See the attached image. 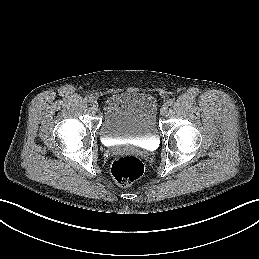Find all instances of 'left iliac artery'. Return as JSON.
Here are the masks:
<instances>
[{
    "label": "left iliac artery",
    "mask_w": 259,
    "mask_h": 259,
    "mask_svg": "<svg viewBox=\"0 0 259 259\" xmlns=\"http://www.w3.org/2000/svg\"><path fill=\"white\" fill-rule=\"evenodd\" d=\"M166 104H167L168 106H171V105L173 104V100H172V99L167 100Z\"/></svg>",
    "instance_id": "44dca946"
}]
</instances>
